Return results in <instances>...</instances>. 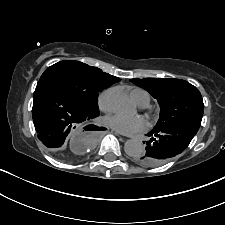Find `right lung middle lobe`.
<instances>
[{
	"label": "right lung middle lobe",
	"instance_id": "dd1d6c3e",
	"mask_svg": "<svg viewBox=\"0 0 225 225\" xmlns=\"http://www.w3.org/2000/svg\"><path fill=\"white\" fill-rule=\"evenodd\" d=\"M39 82H47L62 90L87 111L99 115L98 93L112 85L87 64L60 61L48 67Z\"/></svg>",
	"mask_w": 225,
	"mask_h": 225
}]
</instances>
